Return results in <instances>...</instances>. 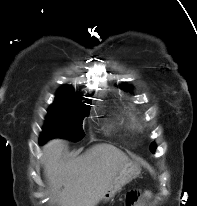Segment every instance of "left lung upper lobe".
<instances>
[{
	"mask_svg": "<svg viewBox=\"0 0 197 206\" xmlns=\"http://www.w3.org/2000/svg\"><path fill=\"white\" fill-rule=\"evenodd\" d=\"M121 88L124 89V90H126V91H129V90H130V88H129L128 86H125V85H124V86H121ZM155 149H156V145H155L154 143H152V144L150 145V150H151V152L154 153Z\"/></svg>",
	"mask_w": 197,
	"mask_h": 206,
	"instance_id": "left-lung-upper-lobe-1",
	"label": "left lung upper lobe"
}]
</instances>
